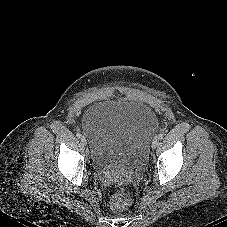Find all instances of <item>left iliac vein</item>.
I'll return each mask as SVG.
<instances>
[{
	"label": "left iliac vein",
	"mask_w": 227,
	"mask_h": 227,
	"mask_svg": "<svg viewBox=\"0 0 227 227\" xmlns=\"http://www.w3.org/2000/svg\"><path fill=\"white\" fill-rule=\"evenodd\" d=\"M159 141H160L159 137H155L153 139V142H152V148L153 149H155V148H157L159 146Z\"/></svg>",
	"instance_id": "obj_1"
}]
</instances>
